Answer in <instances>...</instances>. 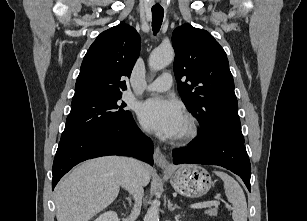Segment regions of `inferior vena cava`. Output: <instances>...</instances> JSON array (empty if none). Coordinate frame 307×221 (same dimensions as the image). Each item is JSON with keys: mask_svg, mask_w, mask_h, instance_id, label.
<instances>
[{"mask_svg": "<svg viewBox=\"0 0 307 221\" xmlns=\"http://www.w3.org/2000/svg\"><path fill=\"white\" fill-rule=\"evenodd\" d=\"M141 162L133 158H125V170L121 186L125 188L135 200L134 207L129 216V221H135L140 214L142 198L144 195L143 185L141 183L138 170Z\"/></svg>", "mask_w": 307, "mask_h": 221, "instance_id": "obj_1", "label": "inferior vena cava"}]
</instances>
